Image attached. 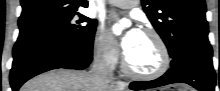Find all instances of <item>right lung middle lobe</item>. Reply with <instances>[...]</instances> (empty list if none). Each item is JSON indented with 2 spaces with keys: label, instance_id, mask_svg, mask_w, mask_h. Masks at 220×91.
<instances>
[{
  "label": "right lung middle lobe",
  "instance_id": "dd1d6c3e",
  "mask_svg": "<svg viewBox=\"0 0 220 91\" xmlns=\"http://www.w3.org/2000/svg\"><path fill=\"white\" fill-rule=\"evenodd\" d=\"M97 21L76 11L52 14L31 22L19 24L21 30H46L69 39L74 43L91 42Z\"/></svg>",
  "mask_w": 220,
  "mask_h": 91
}]
</instances>
